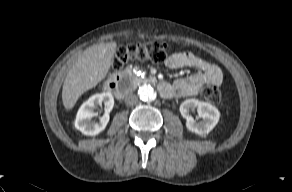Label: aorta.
<instances>
[{"label": "aorta", "instance_id": "1", "mask_svg": "<svg viewBox=\"0 0 292 192\" xmlns=\"http://www.w3.org/2000/svg\"><path fill=\"white\" fill-rule=\"evenodd\" d=\"M138 96L144 102L153 101L156 98V92L151 85H142L138 89Z\"/></svg>", "mask_w": 292, "mask_h": 192}]
</instances>
